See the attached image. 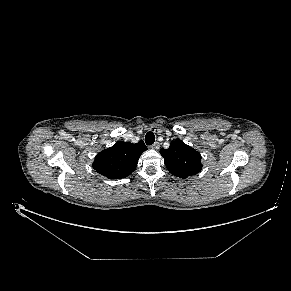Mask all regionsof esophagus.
I'll return each mask as SVG.
<instances>
[{"label":"esophagus","mask_w":291,"mask_h":291,"mask_svg":"<svg viewBox=\"0 0 291 291\" xmlns=\"http://www.w3.org/2000/svg\"><path fill=\"white\" fill-rule=\"evenodd\" d=\"M151 148L154 150H158L160 148V144L158 142H155L153 145H151Z\"/></svg>","instance_id":"34e87169"}]
</instances>
